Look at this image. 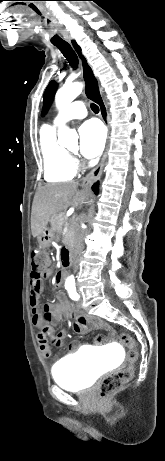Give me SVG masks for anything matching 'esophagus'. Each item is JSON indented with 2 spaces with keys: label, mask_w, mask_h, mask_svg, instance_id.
<instances>
[{
  "label": "esophagus",
  "mask_w": 165,
  "mask_h": 461,
  "mask_svg": "<svg viewBox=\"0 0 165 461\" xmlns=\"http://www.w3.org/2000/svg\"><path fill=\"white\" fill-rule=\"evenodd\" d=\"M69 43L70 45L72 46V48L80 54L81 52V49H80V46L78 44V42L74 39H70L69 40ZM79 60H80V63H81V68H82V77H83V81H84V84L86 85V93L88 92V88H89V85H90V82L86 79V71H87V65L90 67L87 59L81 55H79ZM95 80H96V85L98 87V90H99V93H100V96L102 98V103H98L99 105V108H100V116H101V119L102 121L104 122V124L107 126L108 128V136H109V133H110V125H109V116H108V111H107V106H106V103H105V100L103 98V94H102V90L99 86V83H98V79L97 77L95 76ZM108 148H109V140H107V143H106V147H105V150H104V153H103V156L101 158V161L100 163L89 173L87 174V176L83 179L82 181V186L84 187H89L91 186L96 180H98L102 174V169H103V166H104V163H105V160H106V157H107V151H108Z\"/></svg>",
  "instance_id": "1"
}]
</instances>
